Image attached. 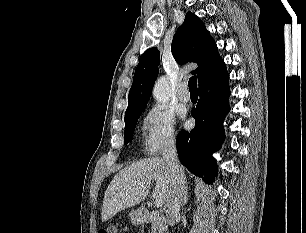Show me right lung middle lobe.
Here are the masks:
<instances>
[{"label":"right lung middle lobe","instance_id":"obj_1","mask_svg":"<svg viewBox=\"0 0 306 233\" xmlns=\"http://www.w3.org/2000/svg\"><path fill=\"white\" fill-rule=\"evenodd\" d=\"M143 110L144 109L139 110L125 117V130H124V143L125 144L132 141L134 128Z\"/></svg>","mask_w":306,"mask_h":233}]
</instances>
